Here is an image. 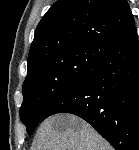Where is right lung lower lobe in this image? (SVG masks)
Returning a JSON list of instances; mask_svg holds the SVG:
<instances>
[{
  "label": "right lung lower lobe",
  "mask_w": 139,
  "mask_h": 150,
  "mask_svg": "<svg viewBox=\"0 0 139 150\" xmlns=\"http://www.w3.org/2000/svg\"><path fill=\"white\" fill-rule=\"evenodd\" d=\"M71 113L94 127L115 150H139V41L135 24L78 82L48 107L42 121Z\"/></svg>",
  "instance_id": "obj_1"
}]
</instances>
